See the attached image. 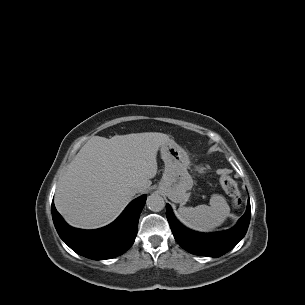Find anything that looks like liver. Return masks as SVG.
Here are the masks:
<instances>
[{
    "label": "liver",
    "mask_w": 305,
    "mask_h": 305,
    "mask_svg": "<svg viewBox=\"0 0 305 305\" xmlns=\"http://www.w3.org/2000/svg\"><path fill=\"white\" fill-rule=\"evenodd\" d=\"M169 141L158 132L91 137L58 182L56 209L73 227L110 224L136 193L150 187L157 173V152Z\"/></svg>",
    "instance_id": "obj_1"
}]
</instances>
